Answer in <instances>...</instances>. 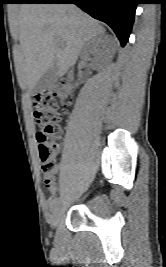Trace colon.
Masks as SVG:
<instances>
[{
    "instance_id": "colon-1",
    "label": "colon",
    "mask_w": 166,
    "mask_h": 267,
    "mask_svg": "<svg viewBox=\"0 0 166 267\" xmlns=\"http://www.w3.org/2000/svg\"><path fill=\"white\" fill-rule=\"evenodd\" d=\"M72 100V87L63 80L34 97L33 115L38 126V152L45 178L52 176L56 168L57 146L55 141L61 135V112L59 109L68 107Z\"/></svg>"
}]
</instances>
